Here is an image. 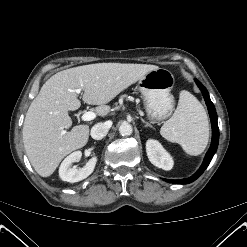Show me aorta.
Returning a JSON list of instances; mask_svg holds the SVG:
<instances>
[{
  "mask_svg": "<svg viewBox=\"0 0 247 247\" xmlns=\"http://www.w3.org/2000/svg\"><path fill=\"white\" fill-rule=\"evenodd\" d=\"M133 132V128L132 126L127 123V122H123L120 127H119V133L122 135V136H128V135H131Z\"/></svg>",
  "mask_w": 247,
  "mask_h": 247,
  "instance_id": "1",
  "label": "aorta"
}]
</instances>
